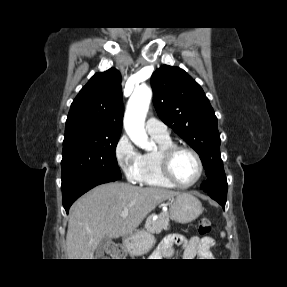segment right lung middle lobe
<instances>
[{
    "label": "right lung middle lobe",
    "instance_id": "right-lung-middle-lobe-1",
    "mask_svg": "<svg viewBox=\"0 0 287 287\" xmlns=\"http://www.w3.org/2000/svg\"><path fill=\"white\" fill-rule=\"evenodd\" d=\"M121 133H99L87 126L65 131L62 185L88 175L121 178L115 149Z\"/></svg>",
    "mask_w": 287,
    "mask_h": 287
}]
</instances>
